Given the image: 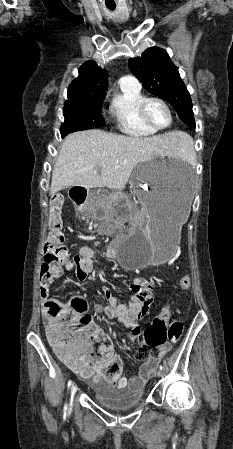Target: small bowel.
Listing matches in <instances>:
<instances>
[{
  "label": "small bowel",
  "mask_w": 233,
  "mask_h": 449,
  "mask_svg": "<svg viewBox=\"0 0 233 449\" xmlns=\"http://www.w3.org/2000/svg\"><path fill=\"white\" fill-rule=\"evenodd\" d=\"M94 256V250L89 246H84L73 256L71 263L69 261H58L46 265L42 264L40 271V293L44 302H48L50 299L52 282L54 278L62 273L63 266L73 268L79 281H84L94 271ZM102 256L105 259L111 260L115 259L116 253L113 249H108ZM129 287L133 292L129 302L112 296L111 292L106 287H103L102 291L107 305L104 307L98 306L97 311L106 314L108 317L130 328L128 339L132 343H135L140 336L138 320L146 314L153 301V283L147 279L134 278L131 280ZM101 349L105 350L102 359H96L93 355V350L73 353L76 358L81 360L80 366L74 368V370L82 377L91 378L94 381H100L104 378L109 383L118 382L123 385L128 382L131 386H136L146 382L153 375L160 361V357L167 352L168 348H159V358L148 355L140 367L138 375L132 376L129 379L123 375L122 361L114 354L113 346L111 345L108 348L103 346ZM102 360L107 361V364H102Z\"/></svg>",
  "instance_id": "1"
}]
</instances>
